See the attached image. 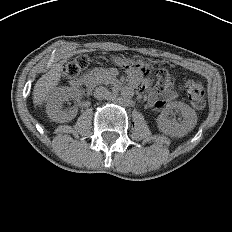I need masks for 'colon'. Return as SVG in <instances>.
<instances>
[{
  "instance_id": "5ec220e1",
  "label": "colon",
  "mask_w": 232,
  "mask_h": 232,
  "mask_svg": "<svg viewBox=\"0 0 232 232\" xmlns=\"http://www.w3.org/2000/svg\"><path fill=\"white\" fill-rule=\"evenodd\" d=\"M89 65V59L86 56H79L70 61L64 68V76L69 79L78 77ZM144 71H146L144 69ZM174 84L172 75L165 69L157 72L155 87L159 94H168ZM187 97L190 103L196 109H202L205 106L204 87L199 82L191 81L186 86Z\"/></svg>"
}]
</instances>
